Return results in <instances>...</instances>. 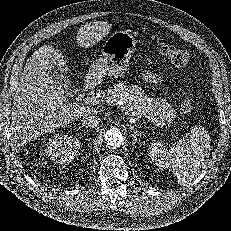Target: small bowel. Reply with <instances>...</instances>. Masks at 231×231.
<instances>
[{"instance_id": "small-bowel-1", "label": "small bowel", "mask_w": 231, "mask_h": 231, "mask_svg": "<svg viewBox=\"0 0 231 231\" xmlns=\"http://www.w3.org/2000/svg\"><path fill=\"white\" fill-rule=\"evenodd\" d=\"M142 77L144 80H146L148 82H157L160 79L157 74L151 73V72L143 74Z\"/></svg>"}]
</instances>
